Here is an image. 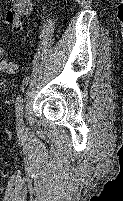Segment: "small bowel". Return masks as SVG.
I'll use <instances>...</instances> for the list:
<instances>
[{
    "mask_svg": "<svg viewBox=\"0 0 123 201\" xmlns=\"http://www.w3.org/2000/svg\"><path fill=\"white\" fill-rule=\"evenodd\" d=\"M10 2L12 7L5 14L4 24L9 26L13 32H19L22 29L21 18L32 12V0H10ZM0 52L4 53L1 47Z\"/></svg>",
    "mask_w": 123,
    "mask_h": 201,
    "instance_id": "small-bowel-1",
    "label": "small bowel"
}]
</instances>
